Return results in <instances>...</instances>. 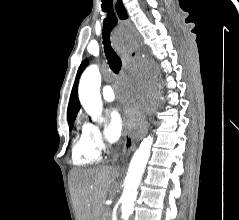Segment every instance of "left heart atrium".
<instances>
[{
  "instance_id": "39dd6f15",
  "label": "left heart atrium",
  "mask_w": 239,
  "mask_h": 220,
  "mask_svg": "<svg viewBox=\"0 0 239 220\" xmlns=\"http://www.w3.org/2000/svg\"><path fill=\"white\" fill-rule=\"evenodd\" d=\"M120 103L125 114L130 115L129 99L126 94L120 95ZM119 108L113 109L110 113L108 125L106 127V136L110 141H117L125 127V120L119 113Z\"/></svg>"
}]
</instances>
